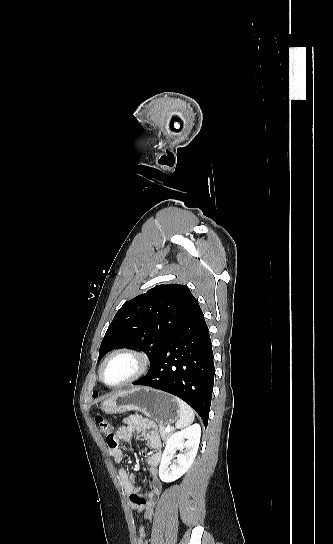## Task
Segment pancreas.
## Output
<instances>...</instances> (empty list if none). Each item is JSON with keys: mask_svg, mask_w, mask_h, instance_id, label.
I'll list each match as a JSON object with an SVG mask.
<instances>
[{"mask_svg": "<svg viewBox=\"0 0 333 544\" xmlns=\"http://www.w3.org/2000/svg\"><path fill=\"white\" fill-rule=\"evenodd\" d=\"M158 431L160 433V436L162 437V440L165 441V442L169 439V437L172 434V430L170 432L165 431V426L164 425H159Z\"/></svg>", "mask_w": 333, "mask_h": 544, "instance_id": "1", "label": "pancreas"}]
</instances>
